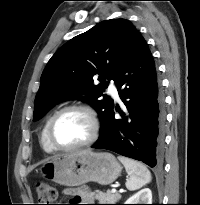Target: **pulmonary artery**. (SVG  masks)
Here are the masks:
<instances>
[{
	"label": "pulmonary artery",
	"mask_w": 200,
	"mask_h": 205,
	"mask_svg": "<svg viewBox=\"0 0 200 205\" xmlns=\"http://www.w3.org/2000/svg\"><path fill=\"white\" fill-rule=\"evenodd\" d=\"M108 92L115 98V99H119V95H118V91L117 88L115 86V84L113 82H111L108 86Z\"/></svg>",
	"instance_id": "e3ab8cb5"
}]
</instances>
